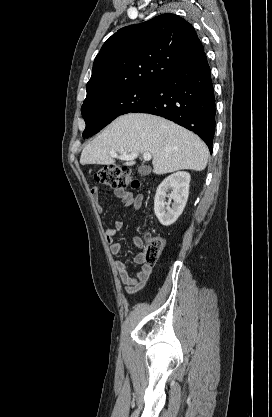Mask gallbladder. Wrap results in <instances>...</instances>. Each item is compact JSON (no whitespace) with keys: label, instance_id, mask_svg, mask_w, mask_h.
Masks as SVG:
<instances>
[{"label":"gallbladder","instance_id":"1","mask_svg":"<svg viewBox=\"0 0 272 417\" xmlns=\"http://www.w3.org/2000/svg\"><path fill=\"white\" fill-rule=\"evenodd\" d=\"M138 171H139V173H140L141 175H149V174H150V172H151V169H150V167H148V166L141 165V166L138 168Z\"/></svg>","mask_w":272,"mask_h":417}]
</instances>
